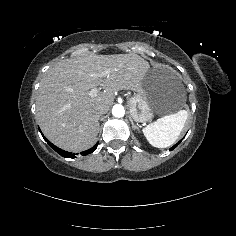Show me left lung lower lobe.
Wrapping results in <instances>:
<instances>
[{
  "label": "left lung lower lobe",
  "mask_w": 236,
  "mask_h": 236,
  "mask_svg": "<svg viewBox=\"0 0 236 236\" xmlns=\"http://www.w3.org/2000/svg\"><path fill=\"white\" fill-rule=\"evenodd\" d=\"M181 141L182 140H180L177 144H175L173 147H171L170 150H173L174 148H176Z\"/></svg>",
  "instance_id": "obj_1"
}]
</instances>
